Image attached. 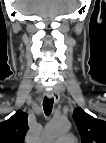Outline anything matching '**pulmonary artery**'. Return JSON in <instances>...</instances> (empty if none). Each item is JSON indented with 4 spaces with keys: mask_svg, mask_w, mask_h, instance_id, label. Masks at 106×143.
<instances>
[{
    "mask_svg": "<svg viewBox=\"0 0 106 143\" xmlns=\"http://www.w3.org/2000/svg\"><path fill=\"white\" fill-rule=\"evenodd\" d=\"M62 140L66 141V142H72L75 140L74 136L72 135H66L63 138H61Z\"/></svg>",
    "mask_w": 106,
    "mask_h": 143,
    "instance_id": "e3ab8cb5",
    "label": "pulmonary artery"
}]
</instances>
